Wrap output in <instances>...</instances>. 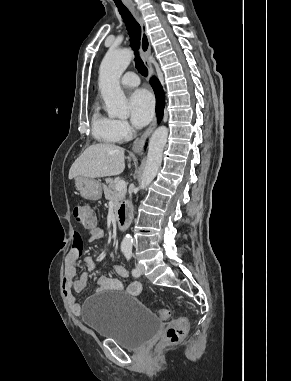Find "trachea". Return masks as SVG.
<instances>
[{
  "label": "trachea",
  "mask_w": 291,
  "mask_h": 381,
  "mask_svg": "<svg viewBox=\"0 0 291 381\" xmlns=\"http://www.w3.org/2000/svg\"><path fill=\"white\" fill-rule=\"evenodd\" d=\"M114 2L127 27L128 34L130 36L131 47L135 52L134 61H135L136 68L142 76L146 77L148 75V69L144 65L138 52L140 48L141 27L139 23L133 17L131 12L128 10V8L122 2H117L116 0H114Z\"/></svg>",
  "instance_id": "1"
}]
</instances>
